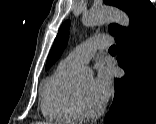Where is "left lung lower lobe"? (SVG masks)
<instances>
[{
  "label": "left lung lower lobe",
  "mask_w": 156,
  "mask_h": 124,
  "mask_svg": "<svg viewBox=\"0 0 156 124\" xmlns=\"http://www.w3.org/2000/svg\"><path fill=\"white\" fill-rule=\"evenodd\" d=\"M117 61L125 76L115 79V96L105 124L156 121V10L145 0L129 28L115 36Z\"/></svg>",
  "instance_id": "obj_1"
}]
</instances>
